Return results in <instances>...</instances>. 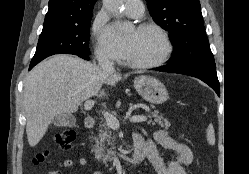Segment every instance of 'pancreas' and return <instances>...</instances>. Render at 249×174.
I'll list each match as a JSON object with an SVG mask.
<instances>
[{"instance_id":"1","label":"pancreas","mask_w":249,"mask_h":174,"mask_svg":"<svg viewBox=\"0 0 249 174\" xmlns=\"http://www.w3.org/2000/svg\"><path fill=\"white\" fill-rule=\"evenodd\" d=\"M130 106H132V104H130ZM139 107L147 108L145 104H140ZM151 114L153 121L150 120V122H152V125L159 124L165 129H168L171 126L170 122L164 118L162 114H159L158 111H153ZM99 128V134L95 137L93 151L95 153V158L106 164L108 161H112L114 159L115 136L111 133L110 128L106 123L100 125ZM106 145L109 146V148H107Z\"/></svg>"}]
</instances>
